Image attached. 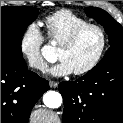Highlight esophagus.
<instances>
[{"instance_id":"34e87169","label":"esophagus","mask_w":123,"mask_h":123,"mask_svg":"<svg viewBox=\"0 0 123 123\" xmlns=\"http://www.w3.org/2000/svg\"><path fill=\"white\" fill-rule=\"evenodd\" d=\"M49 86H50L51 88H56V87L58 86V83L51 80V81H49Z\"/></svg>"}]
</instances>
